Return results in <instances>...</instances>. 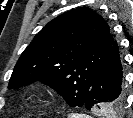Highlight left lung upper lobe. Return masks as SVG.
<instances>
[{"label":"left lung upper lobe","instance_id":"1","mask_svg":"<svg viewBox=\"0 0 133 118\" xmlns=\"http://www.w3.org/2000/svg\"><path fill=\"white\" fill-rule=\"evenodd\" d=\"M115 40L104 19L89 8L68 11L50 21L20 56L8 88L40 80L71 107L84 106L91 83ZM125 100L102 108L119 112Z\"/></svg>","mask_w":133,"mask_h":118}]
</instances>
